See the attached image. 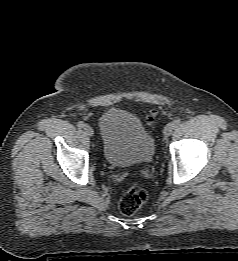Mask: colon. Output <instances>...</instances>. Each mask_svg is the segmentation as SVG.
Instances as JSON below:
<instances>
[{
	"label": "colon",
	"instance_id": "5ec220e1",
	"mask_svg": "<svg viewBox=\"0 0 238 261\" xmlns=\"http://www.w3.org/2000/svg\"><path fill=\"white\" fill-rule=\"evenodd\" d=\"M155 112L151 111L145 118L148 124L154 120ZM148 192L138 182H134L119 202V210L123 215L131 216L138 212L147 202Z\"/></svg>",
	"mask_w": 238,
	"mask_h": 261
}]
</instances>
